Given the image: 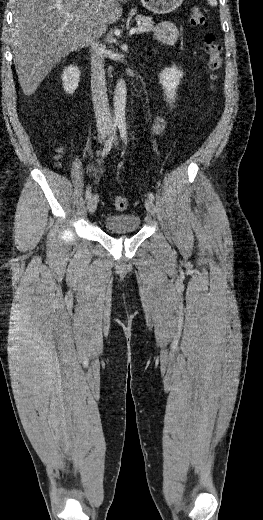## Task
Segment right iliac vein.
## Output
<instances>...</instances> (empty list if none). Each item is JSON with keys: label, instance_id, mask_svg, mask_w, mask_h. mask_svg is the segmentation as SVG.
<instances>
[{"label": "right iliac vein", "instance_id": "1", "mask_svg": "<svg viewBox=\"0 0 263 520\" xmlns=\"http://www.w3.org/2000/svg\"><path fill=\"white\" fill-rule=\"evenodd\" d=\"M107 135H108V132L106 130L101 131L99 133V141L101 143H104ZM96 208H97V196L93 195L92 197L89 198V200L87 202V209H88L89 213L92 214L95 212Z\"/></svg>", "mask_w": 263, "mask_h": 520}]
</instances>
